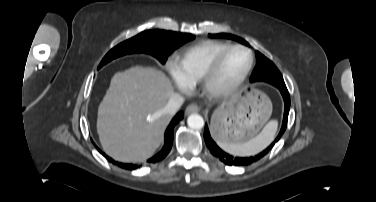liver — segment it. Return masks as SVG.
<instances>
[{"instance_id":"1","label":"liver","mask_w":376,"mask_h":202,"mask_svg":"<svg viewBox=\"0 0 376 202\" xmlns=\"http://www.w3.org/2000/svg\"><path fill=\"white\" fill-rule=\"evenodd\" d=\"M173 94L168 77L154 67L117 72L98 108L97 132L105 153L124 163L151 157L171 120L162 110Z\"/></svg>"}]
</instances>
